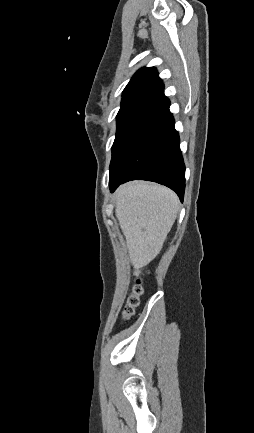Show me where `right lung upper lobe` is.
<instances>
[{
	"mask_svg": "<svg viewBox=\"0 0 254 433\" xmlns=\"http://www.w3.org/2000/svg\"><path fill=\"white\" fill-rule=\"evenodd\" d=\"M164 85L154 67L142 68L135 73L123 91L121 105H144L163 91Z\"/></svg>",
	"mask_w": 254,
	"mask_h": 433,
	"instance_id": "obj_1",
	"label": "right lung upper lobe"
}]
</instances>
